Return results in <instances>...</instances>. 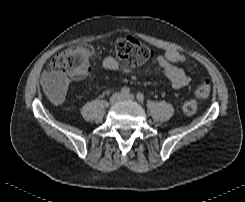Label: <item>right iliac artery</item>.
<instances>
[{"label": "right iliac artery", "mask_w": 245, "mask_h": 202, "mask_svg": "<svg viewBox=\"0 0 245 202\" xmlns=\"http://www.w3.org/2000/svg\"><path fill=\"white\" fill-rule=\"evenodd\" d=\"M130 93V89L126 86H124L122 89H121V94L122 95H129Z\"/></svg>", "instance_id": "1"}]
</instances>
